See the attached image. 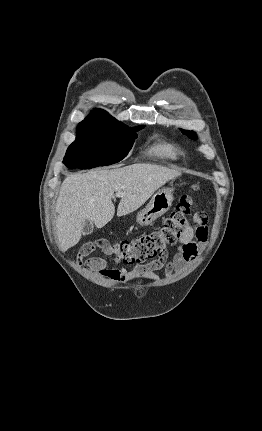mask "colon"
Segmentation results:
<instances>
[{"mask_svg": "<svg viewBox=\"0 0 262 431\" xmlns=\"http://www.w3.org/2000/svg\"><path fill=\"white\" fill-rule=\"evenodd\" d=\"M194 191V194H186L180 198L176 209L159 228L141 233L130 240L112 242L108 239H98L87 243L79 250V260L96 248L122 264H138L165 256L167 248L176 243L194 217H197L201 224L207 222L206 214L197 210L198 188L195 187Z\"/></svg>", "mask_w": 262, "mask_h": 431, "instance_id": "5ec220e1", "label": "colon"}]
</instances>
